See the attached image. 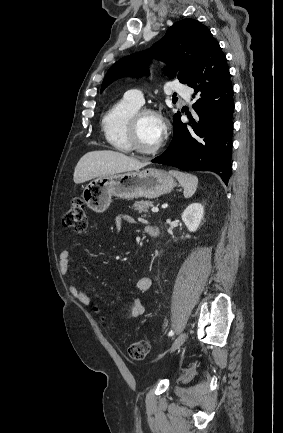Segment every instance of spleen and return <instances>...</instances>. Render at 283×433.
I'll return each mask as SVG.
<instances>
[{"mask_svg":"<svg viewBox=\"0 0 283 433\" xmlns=\"http://www.w3.org/2000/svg\"><path fill=\"white\" fill-rule=\"evenodd\" d=\"M172 176L177 178L179 184L184 188V196L185 198H189L192 196L194 192H196V188L198 186V178L195 174H188V172H179V170H169Z\"/></svg>","mask_w":283,"mask_h":433,"instance_id":"obj_1","label":"spleen"}]
</instances>
